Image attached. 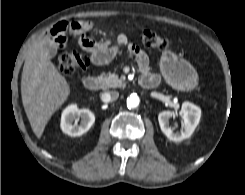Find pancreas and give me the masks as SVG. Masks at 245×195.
Here are the masks:
<instances>
[{"instance_id": "pancreas-1", "label": "pancreas", "mask_w": 245, "mask_h": 195, "mask_svg": "<svg viewBox=\"0 0 245 195\" xmlns=\"http://www.w3.org/2000/svg\"><path fill=\"white\" fill-rule=\"evenodd\" d=\"M102 85L107 88H119L124 87L125 83L122 78H119L117 74L110 73L102 77Z\"/></svg>"}]
</instances>
